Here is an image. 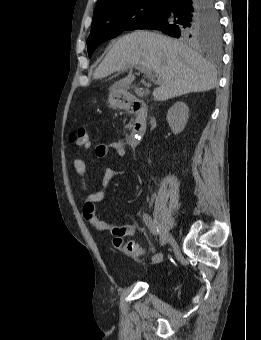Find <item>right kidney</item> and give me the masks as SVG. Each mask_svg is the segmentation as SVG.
Returning <instances> with one entry per match:
<instances>
[{
	"instance_id": "obj_1",
	"label": "right kidney",
	"mask_w": 261,
	"mask_h": 340,
	"mask_svg": "<svg viewBox=\"0 0 261 340\" xmlns=\"http://www.w3.org/2000/svg\"><path fill=\"white\" fill-rule=\"evenodd\" d=\"M188 113L189 108L182 101L176 102L168 110L166 118L172 132L175 135L181 133L184 130L188 120Z\"/></svg>"
}]
</instances>
